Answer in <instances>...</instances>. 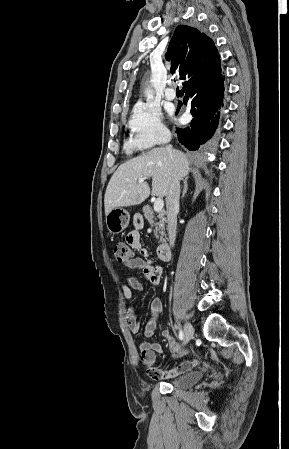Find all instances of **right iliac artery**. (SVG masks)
<instances>
[{"label":"right iliac artery","mask_w":289,"mask_h":449,"mask_svg":"<svg viewBox=\"0 0 289 449\" xmlns=\"http://www.w3.org/2000/svg\"><path fill=\"white\" fill-rule=\"evenodd\" d=\"M184 338V333L183 331L180 329L179 330V339L182 340Z\"/></svg>","instance_id":"1"}]
</instances>
